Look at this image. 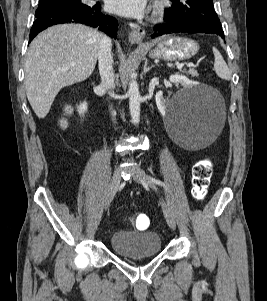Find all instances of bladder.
<instances>
[{"label": "bladder", "instance_id": "31cf9c89", "mask_svg": "<svg viewBox=\"0 0 267 301\" xmlns=\"http://www.w3.org/2000/svg\"><path fill=\"white\" fill-rule=\"evenodd\" d=\"M115 254L123 259H138L156 256L161 252L162 240L158 233L117 231L109 240Z\"/></svg>", "mask_w": 267, "mask_h": 301}]
</instances>
